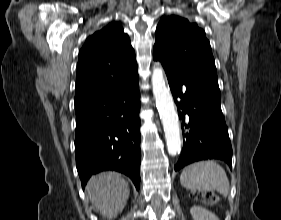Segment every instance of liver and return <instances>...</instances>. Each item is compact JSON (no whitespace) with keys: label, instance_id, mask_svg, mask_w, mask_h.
Listing matches in <instances>:
<instances>
[{"label":"liver","instance_id":"obj_1","mask_svg":"<svg viewBox=\"0 0 281 220\" xmlns=\"http://www.w3.org/2000/svg\"><path fill=\"white\" fill-rule=\"evenodd\" d=\"M86 192L96 210L111 220L123 211L130 189L119 173L102 172L90 178Z\"/></svg>","mask_w":281,"mask_h":220}]
</instances>
